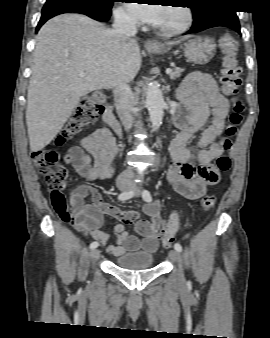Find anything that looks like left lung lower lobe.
<instances>
[{
  "label": "left lung lower lobe",
  "instance_id": "left-lung-lower-lobe-1",
  "mask_svg": "<svg viewBox=\"0 0 270 338\" xmlns=\"http://www.w3.org/2000/svg\"><path fill=\"white\" fill-rule=\"evenodd\" d=\"M218 26H223V27H229L234 30H236L239 34L240 32V25H239V20L236 15V11L230 10L227 11L221 15L215 16L208 21L204 22L202 25H200L197 28H191L188 33H195L202 31L207 28H212V27H218Z\"/></svg>",
  "mask_w": 270,
  "mask_h": 338
}]
</instances>
